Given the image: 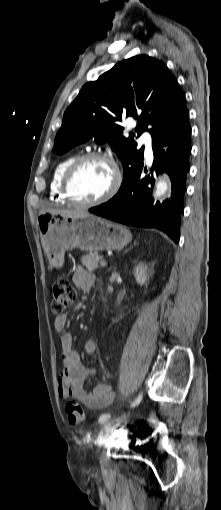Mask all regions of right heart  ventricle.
<instances>
[{
	"label": "right heart ventricle",
	"mask_w": 221,
	"mask_h": 510,
	"mask_svg": "<svg viewBox=\"0 0 221 510\" xmlns=\"http://www.w3.org/2000/svg\"><path fill=\"white\" fill-rule=\"evenodd\" d=\"M76 159L75 155H69L60 160L55 166L51 182H50V199L56 203H66L67 200L64 198L61 192V182L63 175L69 165Z\"/></svg>",
	"instance_id": "obj_1"
}]
</instances>
